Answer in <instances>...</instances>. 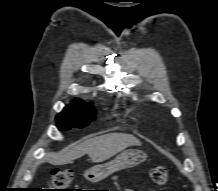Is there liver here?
I'll return each mask as SVG.
<instances>
[{"instance_id": "1", "label": "liver", "mask_w": 218, "mask_h": 191, "mask_svg": "<svg viewBox=\"0 0 218 191\" xmlns=\"http://www.w3.org/2000/svg\"><path fill=\"white\" fill-rule=\"evenodd\" d=\"M141 142L133 135L124 133H109L88 139L65 154L49 153L47 160L53 165L72 163L85 154L92 162H103L130 146H140Z\"/></svg>"}]
</instances>
